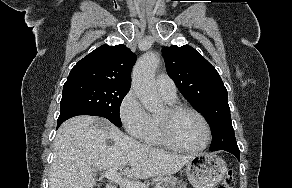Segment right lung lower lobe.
I'll use <instances>...</instances> for the list:
<instances>
[{"label": "right lung lower lobe", "mask_w": 292, "mask_h": 188, "mask_svg": "<svg viewBox=\"0 0 292 188\" xmlns=\"http://www.w3.org/2000/svg\"><path fill=\"white\" fill-rule=\"evenodd\" d=\"M78 115H86L83 112H79V111H67V112H63L60 113V116L58 118L57 121V128L67 119L74 117V116H78Z\"/></svg>", "instance_id": "98d812e1"}]
</instances>
